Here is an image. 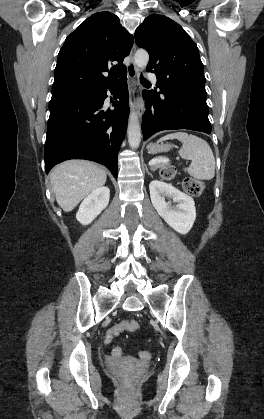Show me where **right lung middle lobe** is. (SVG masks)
I'll use <instances>...</instances> for the list:
<instances>
[{"instance_id":"dd1d6c3e","label":"right lung middle lobe","mask_w":264,"mask_h":419,"mask_svg":"<svg viewBox=\"0 0 264 419\" xmlns=\"http://www.w3.org/2000/svg\"><path fill=\"white\" fill-rule=\"evenodd\" d=\"M85 93H87V92H85ZM78 94H82V93H77V94H73V95H78ZM73 95H69V96H73ZM68 97V96H67Z\"/></svg>"}]
</instances>
